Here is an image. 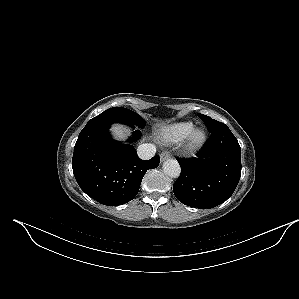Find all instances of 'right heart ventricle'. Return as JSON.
I'll return each instance as SVG.
<instances>
[{
  "label": "right heart ventricle",
  "mask_w": 299,
  "mask_h": 299,
  "mask_svg": "<svg viewBox=\"0 0 299 299\" xmlns=\"http://www.w3.org/2000/svg\"><path fill=\"white\" fill-rule=\"evenodd\" d=\"M195 128V124L190 121H181L165 126L160 136L164 142L178 143L184 140L189 133Z\"/></svg>",
  "instance_id": "right-heart-ventricle-1"
}]
</instances>
